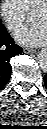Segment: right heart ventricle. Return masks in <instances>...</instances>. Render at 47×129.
Returning a JSON list of instances; mask_svg holds the SVG:
<instances>
[{
	"mask_svg": "<svg viewBox=\"0 0 47 129\" xmlns=\"http://www.w3.org/2000/svg\"><path fill=\"white\" fill-rule=\"evenodd\" d=\"M21 1L23 2L27 10H33L44 0H21Z\"/></svg>",
	"mask_w": 47,
	"mask_h": 129,
	"instance_id": "obj_1",
	"label": "right heart ventricle"
}]
</instances>
